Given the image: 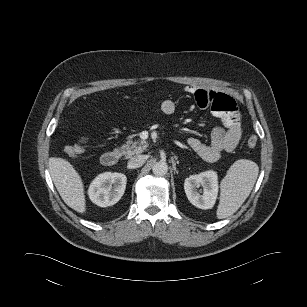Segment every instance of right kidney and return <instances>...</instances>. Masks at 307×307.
Listing matches in <instances>:
<instances>
[{
    "mask_svg": "<svg viewBox=\"0 0 307 307\" xmlns=\"http://www.w3.org/2000/svg\"><path fill=\"white\" fill-rule=\"evenodd\" d=\"M127 178L122 173L104 172L90 184L88 195L100 207L116 204L124 194Z\"/></svg>",
    "mask_w": 307,
    "mask_h": 307,
    "instance_id": "right-kidney-1",
    "label": "right kidney"
}]
</instances>
